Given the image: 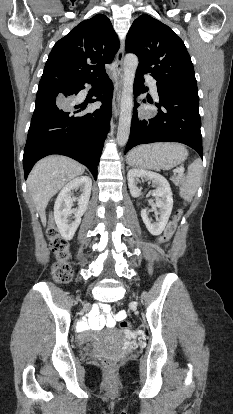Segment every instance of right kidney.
<instances>
[{"label":"right kidney","instance_id":"ca27d5eb","mask_svg":"<svg viewBox=\"0 0 233 414\" xmlns=\"http://www.w3.org/2000/svg\"><path fill=\"white\" fill-rule=\"evenodd\" d=\"M81 188L82 194L78 198V208L73 210L71 207L75 198L73 191ZM92 180L88 176H80L68 184L60 191L54 205V218L61 236L66 240H71L81 223V217L86 212L91 194ZM74 214L75 220L69 217Z\"/></svg>","mask_w":233,"mask_h":414}]
</instances>
